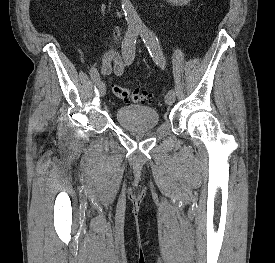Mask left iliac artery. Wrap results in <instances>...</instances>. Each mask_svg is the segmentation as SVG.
I'll list each match as a JSON object with an SVG mask.
<instances>
[{"label":"left iliac artery","mask_w":275,"mask_h":263,"mask_svg":"<svg viewBox=\"0 0 275 263\" xmlns=\"http://www.w3.org/2000/svg\"><path fill=\"white\" fill-rule=\"evenodd\" d=\"M137 29L154 62L163 69L166 61L157 36L145 25H141ZM168 93L175 94L173 89L169 90Z\"/></svg>","instance_id":"left-iliac-artery-1"}]
</instances>
